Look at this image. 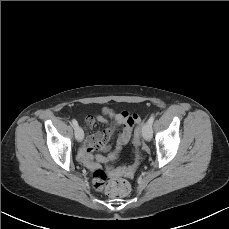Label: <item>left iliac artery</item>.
Here are the masks:
<instances>
[{
    "instance_id": "44dca946",
    "label": "left iliac artery",
    "mask_w": 229,
    "mask_h": 229,
    "mask_svg": "<svg viewBox=\"0 0 229 229\" xmlns=\"http://www.w3.org/2000/svg\"><path fill=\"white\" fill-rule=\"evenodd\" d=\"M154 119H155V116L154 115H151L149 120H148V123H150L151 125L153 124L154 122Z\"/></svg>"
}]
</instances>
